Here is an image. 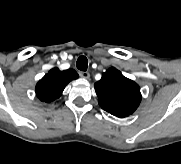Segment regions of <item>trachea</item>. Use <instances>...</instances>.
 <instances>
[{"instance_id": "3493384b", "label": "trachea", "mask_w": 181, "mask_h": 164, "mask_svg": "<svg viewBox=\"0 0 181 164\" xmlns=\"http://www.w3.org/2000/svg\"><path fill=\"white\" fill-rule=\"evenodd\" d=\"M77 68L81 71H86L88 67V60L85 56H80L76 64Z\"/></svg>"}]
</instances>
